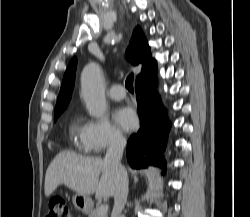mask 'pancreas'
Here are the masks:
<instances>
[{
    "mask_svg": "<svg viewBox=\"0 0 250 217\" xmlns=\"http://www.w3.org/2000/svg\"><path fill=\"white\" fill-rule=\"evenodd\" d=\"M99 210V207H96L94 210H92L90 213H89V217H108L107 213H104V214H100L98 212Z\"/></svg>",
    "mask_w": 250,
    "mask_h": 217,
    "instance_id": "obj_1",
    "label": "pancreas"
}]
</instances>
